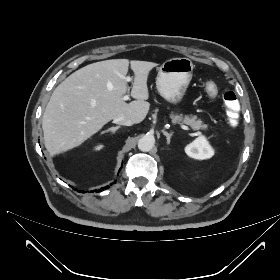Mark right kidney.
Segmentation results:
<instances>
[{
	"label": "right kidney",
	"mask_w": 280,
	"mask_h": 280,
	"mask_svg": "<svg viewBox=\"0 0 280 280\" xmlns=\"http://www.w3.org/2000/svg\"><path fill=\"white\" fill-rule=\"evenodd\" d=\"M103 147V145H98L95 149L100 150Z\"/></svg>",
	"instance_id": "1"
}]
</instances>
